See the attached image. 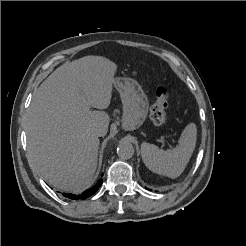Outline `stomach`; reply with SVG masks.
<instances>
[{"instance_id":"stomach-1","label":"stomach","mask_w":246,"mask_h":246,"mask_svg":"<svg viewBox=\"0 0 246 246\" xmlns=\"http://www.w3.org/2000/svg\"><path fill=\"white\" fill-rule=\"evenodd\" d=\"M114 86L123 104V127L127 130L139 128L145 121L149 103L137 81L131 78H116Z\"/></svg>"}]
</instances>
